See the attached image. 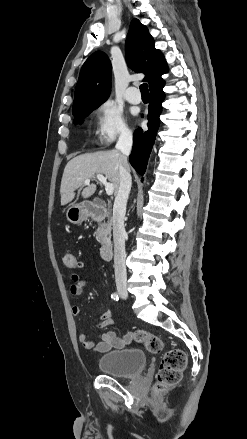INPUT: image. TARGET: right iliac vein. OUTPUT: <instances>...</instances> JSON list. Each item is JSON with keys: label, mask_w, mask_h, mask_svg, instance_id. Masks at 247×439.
Returning <instances> with one entry per match:
<instances>
[{"label": "right iliac vein", "mask_w": 247, "mask_h": 439, "mask_svg": "<svg viewBox=\"0 0 247 439\" xmlns=\"http://www.w3.org/2000/svg\"><path fill=\"white\" fill-rule=\"evenodd\" d=\"M118 293L122 298H124V299L128 298V292H127V289L125 287L118 288Z\"/></svg>", "instance_id": "obj_1"}]
</instances>
